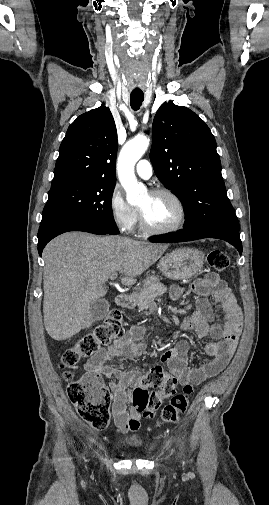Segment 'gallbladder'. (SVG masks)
<instances>
[{"label":"gallbladder","mask_w":269,"mask_h":505,"mask_svg":"<svg viewBox=\"0 0 269 505\" xmlns=\"http://www.w3.org/2000/svg\"><path fill=\"white\" fill-rule=\"evenodd\" d=\"M110 304L105 299H96L91 302L88 315L84 320V327L88 328L92 323L103 320L109 312Z\"/></svg>","instance_id":"1"}]
</instances>
